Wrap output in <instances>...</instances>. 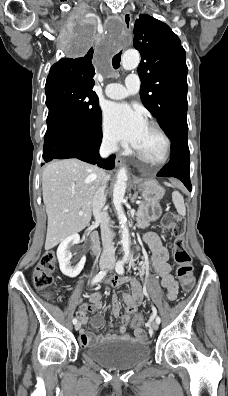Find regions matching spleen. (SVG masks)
I'll list each match as a JSON object with an SVG mask.
<instances>
[{"mask_svg": "<svg viewBox=\"0 0 228 396\" xmlns=\"http://www.w3.org/2000/svg\"><path fill=\"white\" fill-rule=\"evenodd\" d=\"M172 200L177 212L184 216L186 214V208L183 196L178 191H174L172 194Z\"/></svg>", "mask_w": 228, "mask_h": 396, "instance_id": "obj_1", "label": "spleen"}]
</instances>
